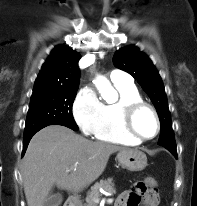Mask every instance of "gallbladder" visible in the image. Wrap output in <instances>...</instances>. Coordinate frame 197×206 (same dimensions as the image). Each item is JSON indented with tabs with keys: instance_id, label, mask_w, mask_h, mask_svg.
<instances>
[{
	"instance_id": "gallbladder-1",
	"label": "gallbladder",
	"mask_w": 197,
	"mask_h": 206,
	"mask_svg": "<svg viewBox=\"0 0 197 206\" xmlns=\"http://www.w3.org/2000/svg\"><path fill=\"white\" fill-rule=\"evenodd\" d=\"M53 190L54 189H52L47 196L44 206H59L62 203V195L58 192H54Z\"/></svg>"
}]
</instances>
